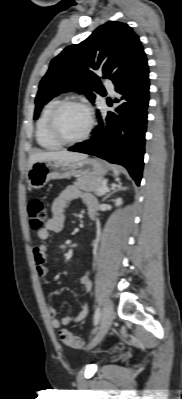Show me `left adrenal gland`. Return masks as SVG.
Masks as SVG:
<instances>
[{"label":"left adrenal gland","instance_id":"obj_1","mask_svg":"<svg viewBox=\"0 0 182 399\" xmlns=\"http://www.w3.org/2000/svg\"><path fill=\"white\" fill-rule=\"evenodd\" d=\"M121 189H124V188L121 187V184H120V183H119L118 185H113L112 188H111L112 192L108 193V194L103 198V200L107 199L110 195H112L113 193H115L116 191H119V190H121Z\"/></svg>","mask_w":182,"mask_h":399}]
</instances>
